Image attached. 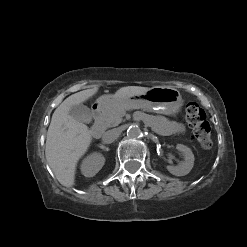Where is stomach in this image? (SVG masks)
I'll return each mask as SVG.
<instances>
[{"label":"stomach","instance_id":"obj_1","mask_svg":"<svg viewBox=\"0 0 247 247\" xmlns=\"http://www.w3.org/2000/svg\"><path fill=\"white\" fill-rule=\"evenodd\" d=\"M100 110H110L121 105L131 104L165 115H175L180 112L183 100L180 92L170 86H157L146 93L128 99H118L114 95H105L97 99Z\"/></svg>","mask_w":247,"mask_h":247}]
</instances>
